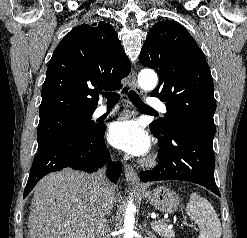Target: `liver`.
<instances>
[{
    "label": "liver",
    "mask_w": 247,
    "mask_h": 238,
    "mask_svg": "<svg viewBox=\"0 0 247 238\" xmlns=\"http://www.w3.org/2000/svg\"><path fill=\"white\" fill-rule=\"evenodd\" d=\"M116 202L109 185L103 200L104 215ZM95 200L92 175L64 169L41 179L35 186L28 219L29 238H93Z\"/></svg>",
    "instance_id": "obj_1"
}]
</instances>
